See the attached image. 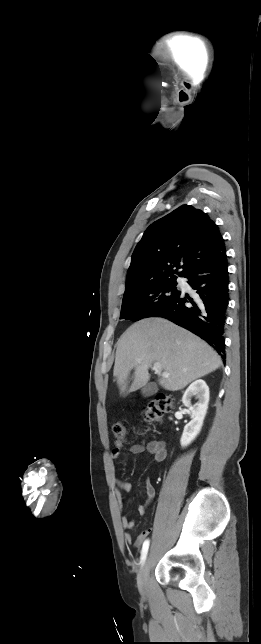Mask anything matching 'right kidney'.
<instances>
[{
  "mask_svg": "<svg viewBox=\"0 0 261 644\" xmlns=\"http://www.w3.org/2000/svg\"><path fill=\"white\" fill-rule=\"evenodd\" d=\"M195 396L198 402L191 406V397ZM182 402L190 410L192 420L184 427L181 437V446H188L201 431L203 421L208 409L209 387L204 380H196L185 391Z\"/></svg>",
  "mask_w": 261,
  "mask_h": 644,
  "instance_id": "ca27d5eb",
  "label": "right kidney"
}]
</instances>
